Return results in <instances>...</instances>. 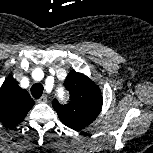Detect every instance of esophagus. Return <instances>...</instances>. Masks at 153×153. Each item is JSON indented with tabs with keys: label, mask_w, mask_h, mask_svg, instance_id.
Listing matches in <instances>:
<instances>
[{
	"label": "esophagus",
	"mask_w": 153,
	"mask_h": 153,
	"mask_svg": "<svg viewBox=\"0 0 153 153\" xmlns=\"http://www.w3.org/2000/svg\"><path fill=\"white\" fill-rule=\"evenodd\" d=\"M48 101L47 96H42L37 100L38 103H46Z\"/></svg>",
	"instance_id": "1"
}]
</instances>
